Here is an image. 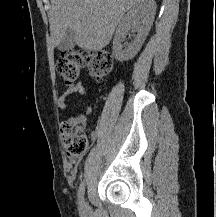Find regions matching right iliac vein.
Returning <instances> with one entry per match:
<instances>
[{
  "mask_svg": "<svg viewBox=\"0 0 216 217\" xmlns=\"http://www.w3.org/2000/svg\"><path fill=\"white\" fill-rule=\"evenodd\" d=\"M82 210H83L84 213H88L89 207H88L87 203H84Z\"/></svg>",
  "mask_w": 216,
  "mask_h": 217,
  "instance_id": "right-iliac-vein-1",
  "label": "right iliac vein"
}]
</instances>
